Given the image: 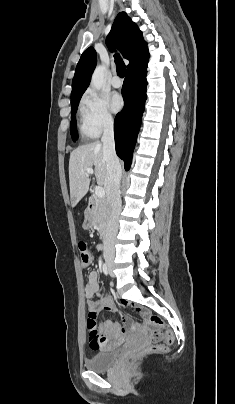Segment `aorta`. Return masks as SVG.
<instances>
[{
  "label": "aorta",
  "mask_w": 235,
  "mask_h": 404,
  "mask_svg": "<svg viewBox=\"0 0 235 404\" xmlns=\"http://www.w3.org/2000/svg\"><path fill=\"white\" fill-rule=\"evenodd\" d=\"M104 85H105V67L99 65L96 67V69L92 74L91 86L96 90H100Z\"/></svg>",
  "instance_id": "aorta-1"
}]
</instances>
